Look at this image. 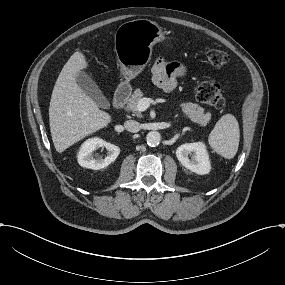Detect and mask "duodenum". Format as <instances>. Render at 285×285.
<instances>
[{
	"mask_svg": "<svg viewBox=\"0 0 285 285\" xmlns=\"http://www.w3.org/2000/svg\"><path fill=\"white\" fill-rule=\"evenodd\" d=\"M131 93L130 86L123 85L119 87L114 95L113 104L116 109H120L124 106L129 99Z\"/></svg>",
	"mask_w": 285,
	"mask_h": 285,
	"instance_id": "duodenum-1",
	"label": "duodenum"
}]
</instances>
